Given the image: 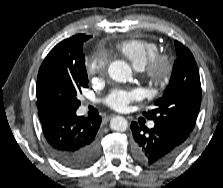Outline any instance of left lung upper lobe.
Here are the masks:
<instances>
[{"label":"left lung upper lobe","mask_w":223,"mask_h":188,"mask_svg":"<svg viewBox=\"0 0 223 188\" xmlns=\"http://www.w3.org/2000/svg\"><path fill=\"white\" fill-rule=\"evenodd\" d=\"M175 60L169 85L144 115L175 134L184 144L195 126L201 104V83L196 61L188 48L175 41Z\"/></svg>","instance_id":"5c2ea615"}]
</instances>
